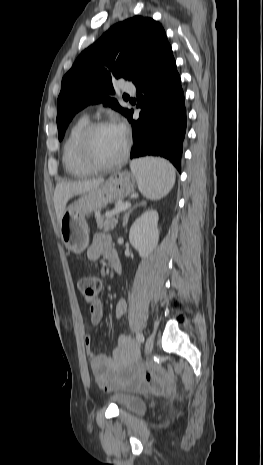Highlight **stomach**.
Here are the masks:
<instances>
[{
  "instance_id": "1",
  "label": "stomach",
  "mask_w": 263,
  "mask_h": 465,
  "mask_svg": "<svg viewBox=\"0 0 263 465\" xmlns=\"http://www.w3.org/2000/svg\"><path fill=\"white\" fill-rule=\"evenodd\" d=\"M135 188V177L128 171H117L102 185L80 195L64 211L60 222L61 239L67 249L82 253L89 244L86 216L107 204L130 195Z\"/></svg>"
}]
</instances>
